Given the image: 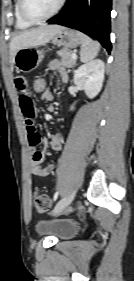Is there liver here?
<instances>
[{
	"instance_id": "obj_1",
	"label": "liver",
	"mask_w": 134,
	"mask_h": 281,
	"mask_svg": "<svg viewBox=\"0 0 134 281\" xmlns=\"http://www.w3.org/2000/svg\"><path fill=\"white\" fill-rule=\"evenodd\" d=\"M62 28L59 25L41 26L14 36L10 43L11 67H13L14 57L18 50L45 45Z\"/></svg>"
}]
</instances>
